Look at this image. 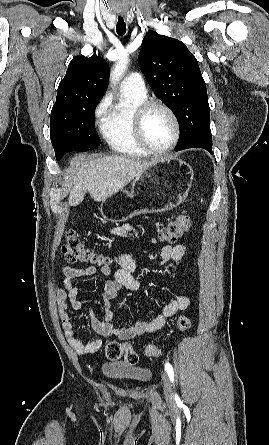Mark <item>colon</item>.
I'll list each match as a JSON object with an SVG mask.
<instances>
[{"label":"colon","mask_w":269,"mask_h":445,"mask_svg":"<svg viewBox=\"0 0 269 445\" xmlns=\"http://www.w3.org/2000/svg\"><path fill=\"white\" fill-rule=\"evenodd\" d=\"M192 225L191 217L188 215H180L169 221L158 231L156 241L159 243H174L184 233H186ZM62 253L67 262L71 264L89 265L95 267L109 266L111 260L96 251L87 247L79 238L78 234L69 229L66 232L65 240L62 245ZM177 327L180 331H187L191 327V319L186 315L179 317ZM105 354L110 360H117L124 357L125 361L134 365L138 361V355L133 348L126 344L115 340L106 343ZM147 357H158L160 352L155 345H148L145 348Z\"/></svg>","instance_id":"obj_1"}]
</instances>
